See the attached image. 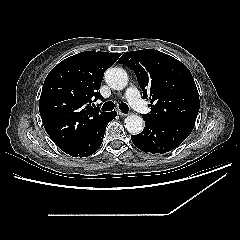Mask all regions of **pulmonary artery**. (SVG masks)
Segmentation results:
<instances>
[{"label": "pulmonary artery", "instance_id": "obj_1", "mask_svg": "<svg viewBox=\"0 0 240 240\" xmlns=\"http://www.w3.org/2000/svg\"><path fill=\"white\" fill-rule=\"evenodd\" d=\"M126 99L129 101L130 105L139 112H145L146 107L144 102L139 97V92L137 88L130 87L125 93Z\"/></svg>", "mask_w": 240, "mask_h": 240}]
</instances>
